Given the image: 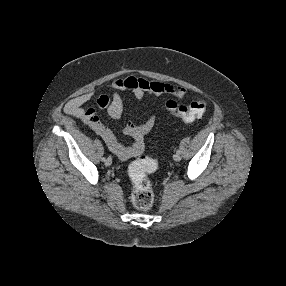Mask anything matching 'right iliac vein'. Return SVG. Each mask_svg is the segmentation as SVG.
Here are the masks:
<instances>
[{"label":"right iliac vein","instance_id":"1","mask_svg":"<svg viewBox=\"0 0 286 286\" xmlns=\"http://www.w3.org/2000/svg\"><path fill=\"white\" fill-rule=\"evenodd\" d=\"M111 164H112V159L109 157V158L106 159L105 165L106 166H110Z\"/></svg>","mask_w":286,"mask_h":286}]
</instances>
